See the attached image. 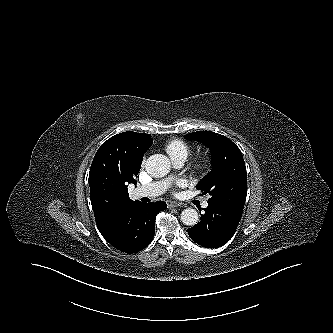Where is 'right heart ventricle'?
<instances>
[{
    "instance_id": "e07e8e85",
    "label": "right heart ventricle",
    "mask_w": 333,
    "mask_h": 333,
    "mask_svg": "<svg viewBox=\"0 0 333 333\" xmlns=\"http://www.w3.org/2000/svg\"><path fill=\"white\" fill-rule=\"evenodd\" d=\"M165 150L172 160L177 158L186 160L191 152L190 146L180 139L169 141L165 146Z\"/></svg>"
}]
</instances>
